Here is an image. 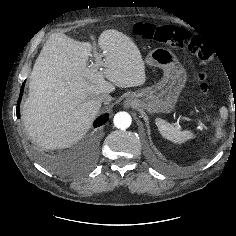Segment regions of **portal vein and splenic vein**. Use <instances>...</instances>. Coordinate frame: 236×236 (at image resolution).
Segmentation results:
<instances>
[{
	"label": "portal vein and splenic vein",
	"mask_w": 236,
	"mask_h": 236,
	"mask_svg": "<svg viewBox=\"0 0 236 236\" xmlns=\"http://www.w3.org/2000/svg\"><path fill=\"white\" fill-rule=\"evenodd\" d=\"M100 57H102V55L101 54H99L98 56H97V58H100ZM92 66V65H91ZM198 122H199V125L201 126V127H203V124H202V122L200 121V120H198Z\"/></svg>",
	"instance_id": "portal-vein-and-splenic-vein-1"
}]
</instances>
